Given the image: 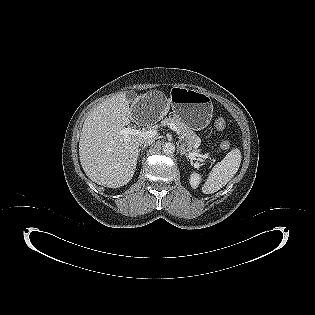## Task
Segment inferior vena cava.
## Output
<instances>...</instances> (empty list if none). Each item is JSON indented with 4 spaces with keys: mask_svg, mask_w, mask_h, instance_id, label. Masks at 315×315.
Masks as SVG:
<instances>
[{
    "mask_svg": "<svg viewBox=\"0 0 315 315\" xmlns=\"http://www.w3.org/2000/svg\"><path fill=\"white\" fill-rule=\"evenodd\" d=\"M153 139L152 138H144V139H141L140 141H139V144L140 145H144V146H148V145H151L152 143H153Z\"/></svg>",
    "mask_w": 315,
    "mask_h": 315,
    "instance_id": "602c4592",
    "label": "inferior vena cava"
}]
</instances>
